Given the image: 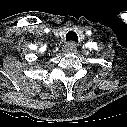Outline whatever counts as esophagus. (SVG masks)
<instances>
[{
	"instance_id": "obj_1",
	"label": "esophagus",
	"mask_w": 127,
	"mask_h": 127,
	"mask_svg": "<svg viewBox=\"0 0 127 127\" xmlns=\"http://www.w3.org/2000/svg\"><path fill=\"white\" fill-rule=\"evenodd\" d=\"M77 50V45L75 43H68L64 46V52L73 53Z\"/></svg>"
}]
</instances>
